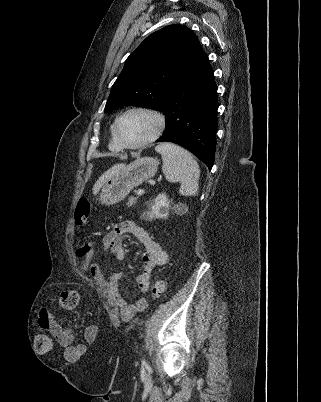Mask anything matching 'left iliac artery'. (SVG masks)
I'll use <instances>...</instances> for the list:
<instances>
[{
	"instance_id": "44dca946",
	"label": "left iliac artery",
	"mask_w": 321,
	"mask_h": 402,
	"mask_svg": "<svg viewBox=\"0 0 321 402\" xmlns=\"http://www.w3.org/2000/svg\"><path fill=\"white\" fill-rule=\"evenodd\" d=\"M142 365L145 367L147 366V362L145 361V359L142 360Z\"/></svg>"
}]
</instances>
